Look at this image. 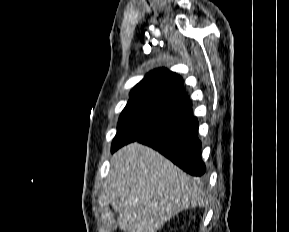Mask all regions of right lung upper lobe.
I'll list each match as a JSON object with an SVG mask.
<instances>
[{
	"mask_svg": "<svg viewBox=\"0 0 289 232\" xmlns=\"http://www.w3.org/2000/svg\"><path fill=\"white\" fill-rule=\"evenodd\" d=\"M133 102H146L157 106L192 111L191 103L183 90V81L176 73L167 69H155L148 73L130 92Z\"/></svg>",
	"mask_w": 289,
	"mask_h": 232,
	"instance_id": "right-lung-upper-lobe-1",
	"label": "right lung upper lobe"
}]
</instances>
